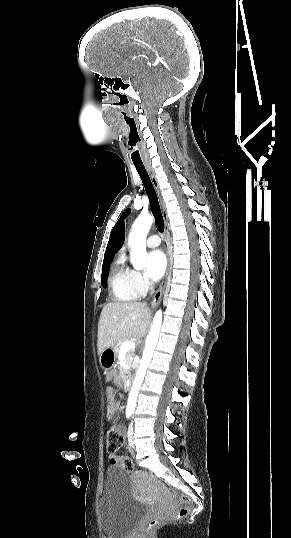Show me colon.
Returning <instances> with one entry per match:
<instances>
[{
	"label": "colon",
	"instance_id": "obj_1",
	"mask_svg": "<svg viewBox=\"0 0 291 538\" xmlns=\"http://www.w3.org/2000/svg\"><path fill=\"white\" fill-rule=\"evenodd\" d=\"M123 442H124V437H123V433L121 429L117 426L109 427L107 430L108 450L110 452L117 451L121 447ZM117 464L120 465L126 471H131L134 467L132 460L129 458H124L120 460ZM182 500H183V504L172 515L173 520H179V519L184 518L186 515L189 514L191 510L190 504L188 503V501L184 498H182ZM161 523H162L161 519H158V518L151 519L149 523L147 524L146 534L150 535L151 533H153Z\"/></svg>",
	"mask_w": 291,
	"mask_h": 538
}]
</instances>
